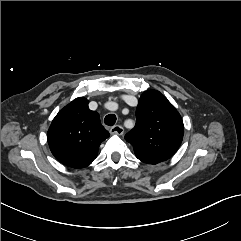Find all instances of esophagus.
Wrapping results in <instances>:
<instances>
[{
    "mask_svg": "<svg viewBox=\"0 0 241 241\" xmlns=\"http://www.w3.org/2000/svg\"><path fill=\"white\" fill-rule=\"evenodd\" d=\"M124 132V129L120 125H115L110 129L111 134H117V135H122Z\"/></svg>",
    "mask_w": 241,
    "mask_h": 241,
    "instance_id": "34e87169",
    "label": "esophagus"
}]
</instances>
